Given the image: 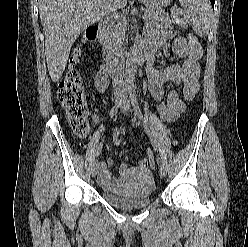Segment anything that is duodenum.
<instances>
[{"label":"duodenum","instance_id":"1","mask_svg":"<svg viewBox=\"0 0 248 247\" xmlns=\"http://www.w3.org/2000/svg\"><path fill=\"white\" fill-rule=\"evenodd\" d=\"M93 29L96 32V41L100 45L101 48L105 47V38H106V21L98 20ZM134 60L138 64H142L149 59L148 52L146 50H136L132 53ZM125 66V57L120 55H111L106 59V70L107 72L115 73L118 70H123Z\"/></svg>","mask_w":248,"mask_h":247}]
</instances>
